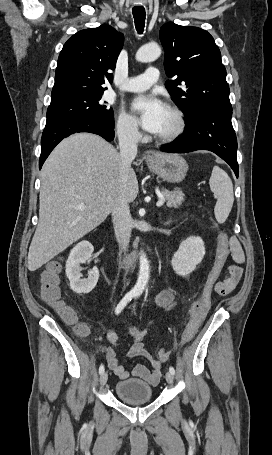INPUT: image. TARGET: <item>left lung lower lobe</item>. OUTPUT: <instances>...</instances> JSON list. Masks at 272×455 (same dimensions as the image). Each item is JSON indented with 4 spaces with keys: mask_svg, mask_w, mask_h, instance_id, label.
<instances>
[{
    "mask_svg": "<svg viewBox=\"0 0 272 455\" xmlns=\"http://www.w3.org/2000/svg\"><path fill=\"white\" fill-rule=\"evenodd\" d=\"M231 116L232 107L205 109L185 122L182 135L160 149L168 153L212 151L225 160L238 177L237 139Z\"/></svg>",
    "mask_w": 272,
    "mask_h": 455,
    "instance_id": "1",
    "label": "left lung lower lobe"
}]
</instances>
